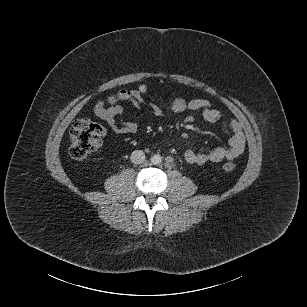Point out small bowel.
<instances>
[{
  "label": "small bowel",
  "mask_w": 307,
  "mask_h": 307,
  "mask_svg": "<svg viewBox=\"0 0 307 307\" xmlns=\"http://www.w3.org/2000/svg\"><path fill=\"white\" fill-rule=\"evenodd\" d=\"M149 92V87L145 84L139 85L135 89L120 90L107 97L108 107L96 106L95 114L104 121L108 127L117 134H133L138 126L134 122L125 121L124 108L117 102L127 101L134 108L140 109L146 103L144 96ZM150 112L160 117L163 110L154 104H147ZM168 110L173 114H179L186 110L200 111L202 117L209 123H225L231 132L227 146H218L209 151L197 152L193 149H187L184 152L185 160L194 165H204L207 162H221L223 160H234L245 150V135L241 124L233 117L227 116L223 111L216 109L212 104L203 98L187 100L176 98L170 104Z\"/></svg>",
  "instance_id": "obj_1"
}]
</instances>
